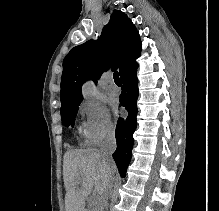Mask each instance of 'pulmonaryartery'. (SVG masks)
I'll use <instances>...</instances> for the list:
<instances>
[{
	"label": "pulmonary artery",
	"mask_w": 219,
	"mask_h": 211,
	"mask_svg": "<svg viewBox=\"0 0 219 211\" xmlns=\"http://www.w3.org/2000/svg\"><path fill=\"white\" fill-rule=\"evenodd\" d=\"M107 92L112 96H118L121 93V89L117 86L113 80H110V84L107 88Z\"/></svg>",
	"instance_id": "1"
}]
</instances>
